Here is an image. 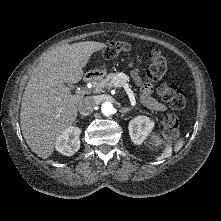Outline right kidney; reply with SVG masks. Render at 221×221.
Masks as SVG:
<instances>
[{
	"mask_svg": "<svg viewBox=\"0 0 221 221\" xmlns=\"http://www.w3.org/2000/svg\"><path fill=\"white\" fill-rule=\"evenodd\" d=\"M80 134V128L70 126L57 139L56 150L66 156L73 155L80 148Z\"/></svg>",
	"mask_w": 221,
	"mask_h": 221,
	"instance_id": "right-kidney-1",
	"label": "right kidney"
}]
</instances>
